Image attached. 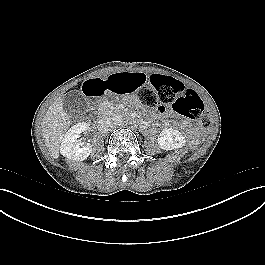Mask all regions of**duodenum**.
I'll use <instances>...</instances> for the list:
<instances>
[{"label":"duodenum","instance_id":"obj_1","mask_svg":"<svg viewBox=\"0 0 265 265\" xmlns=\"http://www.w3.org/2000/svg\"><path fill=\"white\" fill-rule=\"evenodd\" d=\"M136 121H138V122H141V120H140V119H138V118H136Z\"/></svg>","mask_w":265,"mask_h":265}]
</instances>
